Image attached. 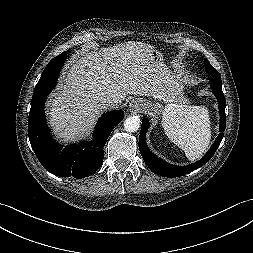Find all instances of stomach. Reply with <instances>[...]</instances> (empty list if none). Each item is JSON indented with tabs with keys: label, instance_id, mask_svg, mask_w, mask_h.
Instances as JSON below:
<instances>
[{
	"label": "stomach",
	"instance_id": "obj_1",
	"mask_svg": "<svg viewBox=\"0 0 253 253\" xmlns=\"http://www.w3.org/2000/svg\"><path fill=\"white\" fill-rule=\"evenodd\" d=\"M151 58L152 63L156 64L161 70L164 71L163 56L158 50L154 49L151 52ZM158 95L159 98L154 99L160 101L161 103H165L166 106L164 108L159 102H150L146 99H141L144 110L153 116H156L160 113L164 115L167 113L166 108L169 105H179L184 99L182 87L176 81L170 79H166V83L159 91Z\"/></svg>",
	"mask_w": 253,
	"mask_h": 253
}]
</instances>
